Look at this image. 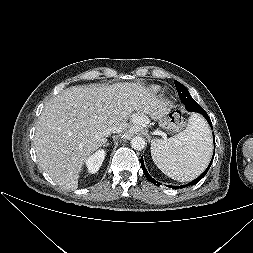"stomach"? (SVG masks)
I'll return each mask as SVG.
<instances>
[{
  "mask_svg": "<svg viewBox=\"0 0 253 253\" xmlns=\"http://www.w3.org/2000/svg\"><path fill=\"white\" fill-rule=\"evenodd\" d=\"M165 118H166L165 114L160 117V123H161V125H162V121H164Z\"/></svg>",
  "mask_w": 253,
  "mask_h": 253,
  "instance_id": "stomach-1",
  "label": "stomach"
}]
</instances>
